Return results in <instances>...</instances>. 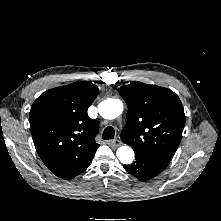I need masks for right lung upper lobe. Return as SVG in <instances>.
Wrapping results in <instances>:
<instances>
[{
	"instance_id": "obj_1",
	"label": "right lung upper lobe",
	"mask_w": 221,
	"mask_h": 221,
	"mask_svg": "<svg viewBox=\"0 0 221 221\" xmlns=\"http://www.w3.org/2000/svg\"><path fill=\"white\" fill-rule=\"evenodd\" d=\"M98 87L79 81L42 93L30 110V129L44 164L58 177L72 179L91 164L99 145L98 122L87 114Z\"/></svg>"
}]
</instances>
